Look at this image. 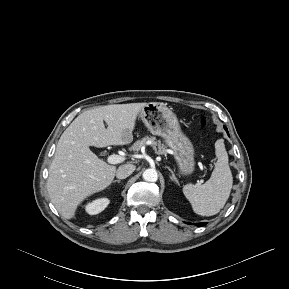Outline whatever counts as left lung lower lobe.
Wrapping results in <instances>:
<instances>
[{"label": "left lung lower lobe", "mask_w": 289, "mask_h": 289, "mask_svg": "<svg viewBox=\"0 0 289 289\" xmlns=\"http://www.w3.org/2000/svg\"><path fill=\"white\" fill-rule=\"evenodd\" d=\"M225 130L227 131V128H226V127H225ZM227 133H228V131H227ZM188 224H190V223H188ZM196 225H197V226H204L205 223H196Z\"/></svg>", "instance_id": "obj_1"}]
</instances>
